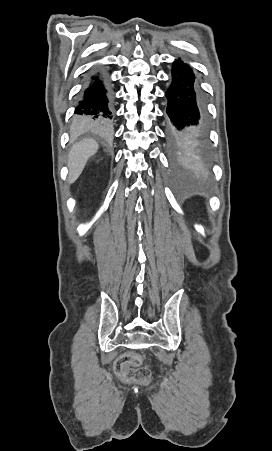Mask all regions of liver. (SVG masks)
<instances>
[{
  "instance_id": "1",
  "label": "liver",
  "mask_w": 272,
  "mask_h": 451,
  "mask_svg": "<svg viewBox=\"0 0 272 451\" xmlns=\"http://www.w3.org/2000/svg\"><path fill=\"white\" fill-rule=\"evenodd\" d=\"M98 148L99 146L95 140H82V142H78V144L72 146L68 158L69 184H73V182L79 178L82 170L85 168L88 158L94 156Z\"/></svg>"
}]
</instances>
